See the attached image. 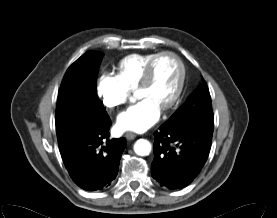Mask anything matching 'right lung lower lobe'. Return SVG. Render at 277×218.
<instances>
[{
  "mask_svg": "<svg viewBox=\"0 0 277 218\" xmlns=\"http://www.w3.org/2000/svg\"><path fill=\"white\" fill-rule=\"evenodd\" d=\"M111 120L108 117L93 131L79 137L60 151L72 180L82 189L95 191L107 188L118 174L125 138L109 137Z\"/></svg>",
  "mask_w": 277,
  "mask_h": 218,
  "instance_id": "right-lung-lower-lobe-1",
  "label": "right lung lower lobe"
}]
</instances>
